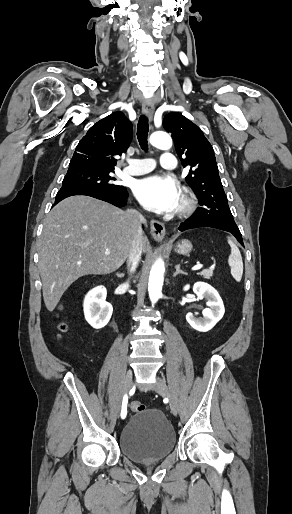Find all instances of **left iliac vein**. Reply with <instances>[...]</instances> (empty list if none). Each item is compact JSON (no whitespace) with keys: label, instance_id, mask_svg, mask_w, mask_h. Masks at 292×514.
I'll return each instance as SVG.
<instances>
[{"label":"left iliac vein","instance_id":"4c4485c4","mask_svg":"<svg viewBox=\"0 0 292 514\" xmlns=\"http://www.w3.org/2000/svg\"><path fill=\"white\" fill-rule=\"evenodd\" d=\"M154 389L160 395L168 398L169 406H170V410H171L172 414L177 415L178 411H177L176 402L174 401L166 382L159 376L157 377L156 383L154 385Z\"/></svg>","mask_w":292,"mask_h":514}]
</instances>
